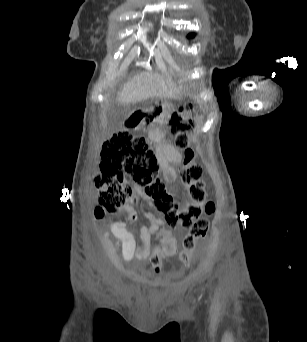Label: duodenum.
<instances>
[{
	"label": "duodenum",
	"mask_w": 307,
	"mask_h": 342,
	"mask_svg": "<svg viewBox=\"0 0 307 342\" xmlns=\"http://www.w3.org/2000/svg\"><path fill=\"white\" fill-rule=\"evenodd\" d=\"M124 126L126 127V128H129L130 126H131V123H130V119L129 118H125L124 119Z\"/></svg>",
	"instance_id": "obj_1"
}]
</instances>
